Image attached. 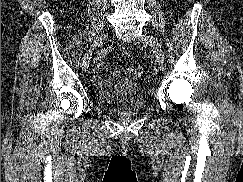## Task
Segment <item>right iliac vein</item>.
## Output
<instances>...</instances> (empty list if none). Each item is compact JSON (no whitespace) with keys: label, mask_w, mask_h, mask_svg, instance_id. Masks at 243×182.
<instances>
[{"label":"right iliac vein","mask_w":243,"mask_h":182,"mask_svg":"<svg viewBox=\"0 0 243 182\" xmlns=\"http://www.w3.org/2000/svg\"><path fill=\"white\" fill-rule=\"evenodd\" d=\"M105 39H106V34H101L95 38L92 47L86 52V54L82 59L81 67L83 71H86L88 69L94 49Z\"/></svg>","instance_id":"63e3f726"}]
</instances>
